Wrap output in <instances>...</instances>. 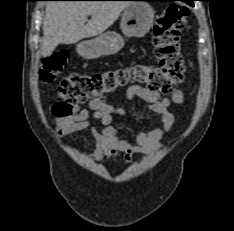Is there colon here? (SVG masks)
I'll return each instance as SVG.
<instances>
[{"instance_id":"5ec220e1","label":"colon","mask_w":234,"mask_h":231,"mask_svg":"<svg viewBox=\"0 0 234 231\" xmlns=\"http://www.w3.org/2000/svg\"><path fill=\"white\" fill-rule=\"evenodd\" d=\"M188 14L186 6L172 4L156 19L152 28V44L158 58L157 65L135 64L101 73H73L63 79L58 88L60 112L75 113L80 105L115 93L128 84L159 94L171 93L184 79L185 59L179 40ZM66 60V52L46 58L41 70L42 79H52L62 70Z\"/></svg>"}]
</instances>
